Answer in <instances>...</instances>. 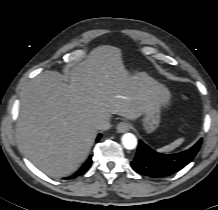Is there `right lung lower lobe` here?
Instances as JSON below:
<instances>
[{"label":"right lung lower lobe","instance_id":"obj_1","mask_svg":"<svg viewBox=\"0 0 218 210\" xmlns=\"http://www.w3.org/2000/svg\"><path fill=\"white\" fill-rule=\"evenodd\" d=\"M101 134L98 135L96 141H99L101 138ZM92 164V159L91 156L87 159V161L83 164V166L75 173V175H72L70 178H74L76 176L84 174L91 166Z\"/></svg>","mask_w":218,"mask_h":210}]
</instances>
